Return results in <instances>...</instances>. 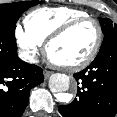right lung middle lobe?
Here are the masks:
<instances>
[{
    "label": "right lung middle lobe",
    "mask_w": 117,
    "mask_h": 117,
    "mask_svg": "<svg viewBox=\"0 0 117 117\" xmlns=\"http://www.w3.org/2000/svg\"><path fill=\"white\" fill-rule=\"evenodd\" d=\"M39 1H24L0 4V30L15 34V25L21 14Z\"/></svg>",
    "instance_id": "obj_1"
}]
</instances>
